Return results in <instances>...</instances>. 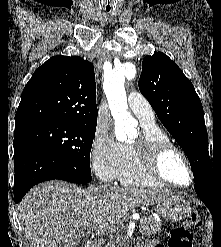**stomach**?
Here are the masks:
<instances>
[{"mask_svg": "<svg viewBox=\"0 0 221 247\" xmlns=\"http://www.w3.org/2000/svg\"><path fill=\"white\" fill-rule=\"evenodd\" d=\"M189 203L180 196H169L157 204L158 214L167 222L180 221L189 211Z\"/></svg>", "mask_w": 221, "mask_h": 247, "instance_id": "obj_1", "label": "stomach"}]
</instances>
